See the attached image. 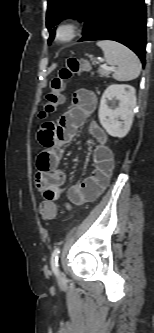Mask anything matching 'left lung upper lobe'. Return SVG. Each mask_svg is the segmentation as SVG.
Returning a JSON list of instances; mask_svg holds the SVG:
<instances>
[{"mask_svg":"<svg viewBox=\"0 0 154 333\" xmlns=\"http://www.w3.org/2000/svg\"><path fill=\"white\" fill-rule=\"evenodd\" d=\"M97 0H47L46 26L52 40V28L66 18H78L83 21ZM51 40V41H52Z\"/></svg>","mask_w":154,"mask_h":333,"instance_id":"obj_1","label":"left lung upper lobe"}]
</instances>
